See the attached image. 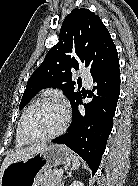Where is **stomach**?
<instances>
[{"mask_svg": "<svg viewBox=\"0 0 138 186\" xmlns=\"http://www.w3.org/2000/svg\"><path fill=\"white\" fill-rule=\"evenodd\" d=\"M72 156L64 145H47L28 160L10 163L2 173L0 186H35L43 171L69 164Z\"/></svg>", "mask_w": 138, "mask_h": 186, "instance_id": "1", "label": "stomach"}]
</instances>
